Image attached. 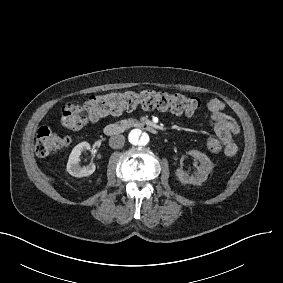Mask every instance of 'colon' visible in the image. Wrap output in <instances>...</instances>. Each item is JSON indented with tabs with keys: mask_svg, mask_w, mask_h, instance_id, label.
Instances as JSON below:
<instances>
[{
	"mask_svg": "<svg viewBox=\"0 0 283 283\" xmlns=\"http://www.w3.org/2000/svg\"><path fill=\"white\" fill-rule=\"evenodd\" d=\"M141 106L145 109H170L172 111L193 115L200 107V99L179 92L159 90L110 92L94 96L81 104L69 103L61 108L60 124L68 129L78 130L105 115H120ZM70 138L61 136L47 127L37 132L34 152L39 158L65 150ZM205 149L211 153L220 152L221 142L216 138L205 141Z\"/></svg>",
	"mask_w": 283,
	"mask_h": 283,
	"instance_id": "obj_1",
	"label": "colon"
}]
</instances>
